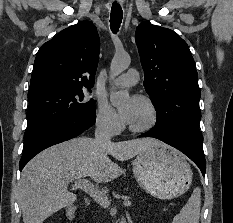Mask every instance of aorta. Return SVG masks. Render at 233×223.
Wrapping results in <instances>:
<instances>
[{
	"label": "aorta",
	"mask_w": 233,
	"mask_h": 223,
	"mask_svg": "<svg viewBox=\"0 0 233 223\" xmlns=\"http://www.w3.org/2000/svg\"><path fill=\"white\" fill-rule=\"evenodd\" d=\"M128 66H130V56H125V58H113L110 66V80H114L116 76L122 74L124 70H127ZM129 92L128 90H117L113 84H111L110 88V102L112 106H119L122 102H127L129 100Z\"/></svg>",
	"instance_id": "762f6f07"
}]
</instances>
